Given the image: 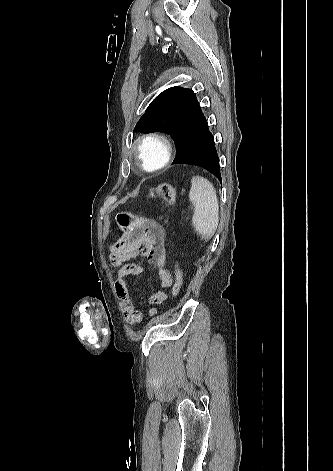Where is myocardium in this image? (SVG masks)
Listing matches in <instances>:
<instances>
[{
  "mask_svg": "<svg viewBox=\"0 0 333 471\" xmlns=\"http://www.w3.org/2000/svg\"><path fill=\"white\" fill-rule=\"evenodd\" d=\"M149 144L159 146L162 151V157L154 167H147L144 162V148ZM135 151L139 167L146 172L154 173L163 169L169 163L172 155V146L170 141L164 135L159 133H150L137 140Z\"/></svg>",
  "mask_w": 333,
  "mask_h": 471,
  "instance_id": "f54148a6",
  "label": "myocardium"
}]
</instances>
